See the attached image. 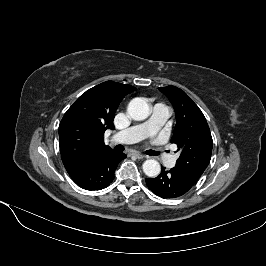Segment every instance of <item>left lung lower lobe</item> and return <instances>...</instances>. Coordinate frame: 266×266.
<instances>
[{
	"mask_svg": "<svg viewBox=\"0 0 266 266\" xmlns=\"http://www.w3.org/2000/svg\"><path fill=\"white\" fill-rule=\"evenodd\" d=\"M150 190L162 198H177L186 194L192 186L176 175L171 169L166 171L162 167L161 174L156 178H146Z\"/></svg>",
	"mask_w": 266,
	"mask_h": 266,
	"instance_id": "left-lung-lower-lobe-1",
	"label": "left lung lower lobe"
}]
</instances>
